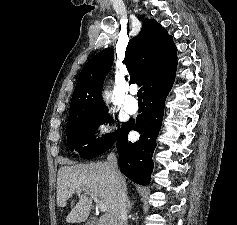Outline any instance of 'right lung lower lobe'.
<instances>
[{
    "instance_id": "98d812e1",
    "label": "right lung lower lobe",
    "mask_w": 237,
    "mask_h": 225,
    "mask_svg": "<svg viewBox=\"0 0 237 225\" xmlns=\"http://www.w3.org/2000/svg\"><path fill=\"white\" fill-rule=\"evenodd\" d=\"M173 80H168L152 88L144 96V110L135 121L126 123L121 135L116 141L119 154L120 171L129 179L140 185H148L153 171V152L156 138L159 134L165 100L173 86ZM134 129L141 136L132 143L128 140V133Z\"/></svg>"
}]
</instances>
